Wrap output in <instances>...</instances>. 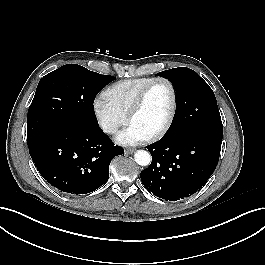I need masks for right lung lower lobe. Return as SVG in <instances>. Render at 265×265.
I'll list each match as a JSON object with an SVG mask.
<instances>
[{
    "instance_id": "obj_1",
    "label": "right lung lower lobe",
    "mask_w": 265,
    "mask_h": 265,
    "mask_svg": "<svg viewBox=\"0 0 265 265\" xmlns=\"http://www.w3.org/2000/svg\"><path fill=\"white\" fill-rule=\"evenodd\" d=\"M29 152L43 178L70 194L92 192L109 178V165L124 150L99 125L66 124L27 136Z\"/></svg>"
}]
</instances>
